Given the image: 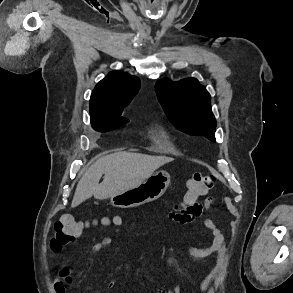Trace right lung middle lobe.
<instances>
[{
  "instance_id": "obj_1",
  "label": "right lung middle lobe",
  "mask_w": 293,
  "mask_h": 293,
  "mask_svg": "<svg viewBox=\"0 0 293 293\" xmlns=\"http://www.w3.org/2000/svg\"><path fill=\"white\" fill-rule=\"evenodd\" d=\"M129 120L121 116V113L106 115L91 119L92 127L96 131L107 132L128 123Z\"/></svg>"
}]
</instances>
